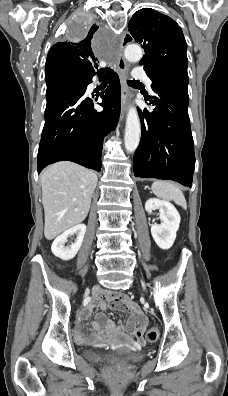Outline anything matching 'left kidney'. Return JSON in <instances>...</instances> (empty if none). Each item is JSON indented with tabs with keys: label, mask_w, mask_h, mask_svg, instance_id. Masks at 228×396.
<instances>
[{
	"label": "left kidney",
	"mask_w": 228,
	"mask_h": 396,
	"mask_svg": "<svg viewBox=\"0 0 228 396\" xmlns=\"http://www.w3.org/2000/svg\"><path fill=\"white\" fill-rule=\"evenodd\" d=\"M155 209H159V218L162 223H153L151 234L155 243L161 249L167 250L172 247L176 239L181 218L177 209L170 202L150 198L145 203V210L151 214Z\"/></svg>",
	"instance_id": "obj_1"
}]
</instances>
